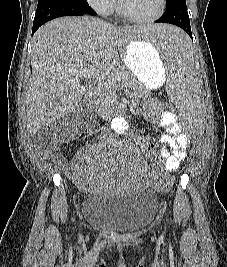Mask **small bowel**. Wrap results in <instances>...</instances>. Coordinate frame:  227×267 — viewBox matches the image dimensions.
<instances>
[{
    "label": "small bowel",
    "instance_id": "c3829d8e",
    "mask_svg": "<svg viewBox=\"0 0 227 267\" xmlns=\"http://www.w3.org/2000/svg\"><path fill=\"white\" fill-rule=\"evenodd\" d=\"M146 119L166 130L160 138V144L152 139H138L154 154V158L161 166V169H175L181 155H186L185 149L190 144V138L184 137L182 125L175 113H166L157 99H149L146 102ZM129 128V120L126 117H115L111 122V129L114 133L123 135ZM94 164V163H93ZM91 164L90 166H92ZM60 168L71 179L84 187L91 179L90 166L86 167L81 161H63Z\"/></svg>",
    "mask_w": 227,
    "mask_h": 267
}]
</instances>
